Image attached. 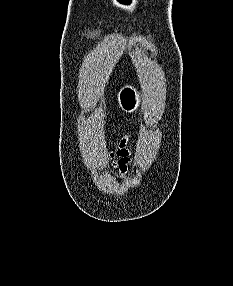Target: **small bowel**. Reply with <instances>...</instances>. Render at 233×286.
<instances>
[{
	"mask_svg": "<svg viewBox=\"0 0 233 286\" xmlns=\"http://www.w3.org/2000/svg\"><path fill=\"white\" fill-rule=\"evenodd\" d=\"M131 151L127 141H122L118 147L110 152V159L113 166L121 173L127 172L131 163Z\"/></svg>",
	"mask_w": 233,
	"mask_h": 286,
	"instance_id": "1",
	"label": "small bowel"
}]
</instances>
